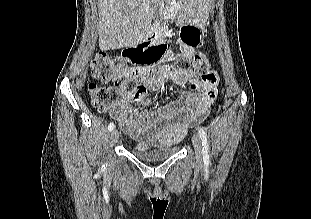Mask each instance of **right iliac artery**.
<instances>
[{
  "mask_svg": "<svg viewBox=\"0 0 311 219\" xmlns=\"http://www.w3.org/2000/svg\"><path fill=\"white\" fill-rule=\"evenodd\" d=\"M114 127H115L114 123H110L108 125V130L111 132L114 129Z\"/></svg>",
  "mask_w": 311,
  "mask_h": 219,
  "instance_id": "obj_1",
  "label": "right iliac artery"
}]
</instances>
